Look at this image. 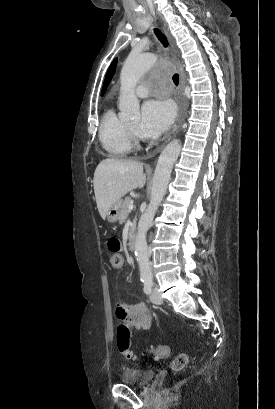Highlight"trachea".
Wrapping results in <instances>:
<instances>
[{"instance_id":"3493384b","label":"trachea","mask_w":275,"mask_h":409,"mask_svg":"<svg viewBox=\"0 0 275 409\" xmlns=\"http://www.w3.org/2000/svg\"><path fill=\"white\" fill-rule=\"evenodd\" d=\"M154 33L158 37L160 42L164 45V47H167L168 46V41H167V38L165 37V35L160 30H158L157 28L154 29ZM173 82L175 83V85L179 84L178 73H175V75H173Z\"/></svg>"}]
</instances>
